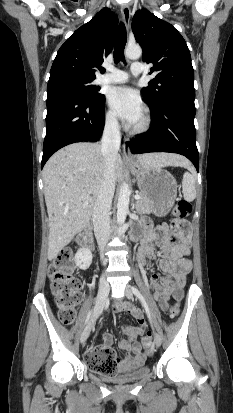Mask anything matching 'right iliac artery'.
<instances>
[{"instance_id": "82829eb1", "label": "right iliac artery", "mask_w": 233, "mask_h": 413, "mask_svg": "<svg viewBox=\"0 0 233 413\" xmlns=\"http://www.w3.org/2000/svg\"><path fill=\"white\" fill-rule=\"evenodd\" d=\"M92 311H90L86 317L85 324L89 321Z\"/></svg>"}]
</instances>
